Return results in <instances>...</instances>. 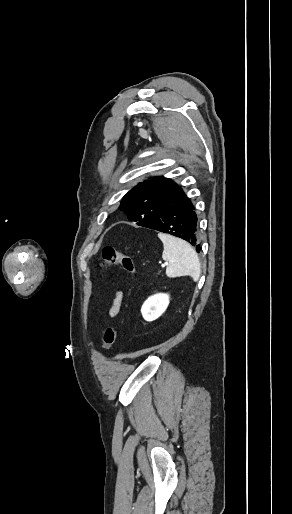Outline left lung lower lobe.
I'll use <instances>...</instances> for the list:
<instances>
[{"instance_id": "obj_1", "label": "left lung lower lobe", "mask_w": 292, "mask_h": 514, "mask_svg": "<svg viewBox=\"0 0 292 514\" xmlns=\"http://www.w3.org/2000/svg\"><path fill=\"white\" fill-rule=\"evenodd\" d=\"M198 218L195 208L182 188L166 202L161 213L145 227L169 233L188 241L200 252Z\"/></svg>"}]
</instances>
